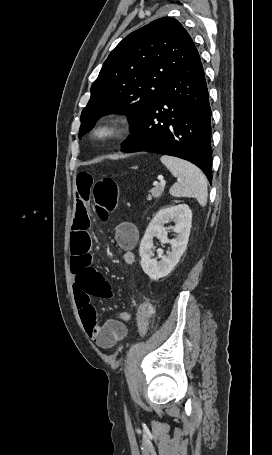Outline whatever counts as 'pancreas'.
Segmentation results:
<instances>
[{
  "label": "pancreas",
  "instance_id": "1",
  "mask_svg": "<svg viewBox=\"0 0 272 455\" xmlns=\"http://www.w3.org/2000/svg\"><path fill=\"white\" fill-rule=\"evenodd\" d=\"M164 191V187H162L160 184L155 186L153 189H151L150 191V194L148 195V200L151 201L152 198H159L161 196V194L163 193Z\"/></svg>",
  "mask_w": 272,
  "mask_h": 455
}]
</instances>
